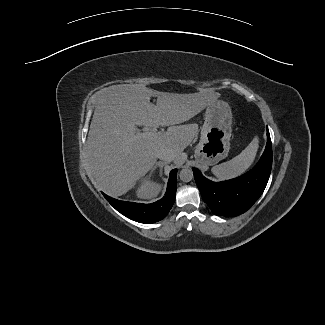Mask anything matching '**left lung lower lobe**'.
Wrapping results in <instances>:
<instances>
[{
    "mask_svg": "<svg viewBox=\"0 0 325 325\" xmlns=\"http://www.w3.org/2000/svg\"><path fill=\"white\" fill-rule=\"evenodd\" d=\"M272 167V143L267 128V144L258 163L244 175L222 182L205 178L192 168L205 203L218 216L232 217L246 212L263 193Z\"/></svg>",
    "mask_w": 325,
    "mask_h": 325,
    "instance_id": "obj_1",
    "label": "left lung lower lobe"
}]
</instances>
